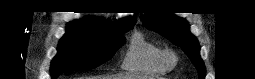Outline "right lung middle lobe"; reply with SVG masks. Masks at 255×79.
<instances>
[{"label":"right lung middle lobe","mask_w":255,"mask_h":79,"mask_svg":"<svg viewBox=\"0 0 255 79\" xmlns=\"http://www.w3.org/2000/svg\"><path fill=\"white\" fill-rule=\"evenodd\" d=\"M132 27L123 28L113 37L67 31L51 63L52 79L68 71L93 69L110 60L125 40L122 34Z\"/></svg>","instance_id":"dd1d6c3e"}]
</instances>
